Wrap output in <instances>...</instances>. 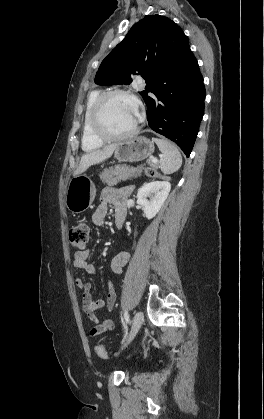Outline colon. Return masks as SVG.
<instances>
[{
    "mask_svg": "<svg viewBox=\"0 0 264 419\" xmlns=\"http://www.w3.org/2000/svg\"><path fill=\"white\" fill-rule=\"evenodd\" d=\"M147 175L155 177L156 172L153 169L147 170ZM89 241V227L85 223H79L73 226L69 231V242L72 247L83 250L86 248ZM95 351L102 359L109 358V352L103 345H96Z\"/></svg>",
    "mask_w": 264,
    "mask_h": 419,
    "instance_id": "obj_1",
    "label": "colon"
}]
</instances>
